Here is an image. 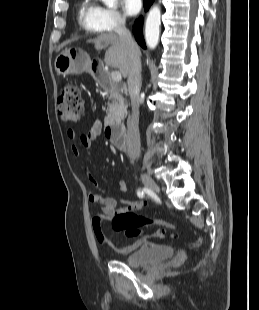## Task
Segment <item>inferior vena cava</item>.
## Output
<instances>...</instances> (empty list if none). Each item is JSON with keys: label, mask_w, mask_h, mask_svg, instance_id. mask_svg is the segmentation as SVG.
Here are the masks:
<instances>
[{"label": "inferior vena cava", "mask_w": 259, "mask_h": 310, "mask_svg": "<svg viewBox=\"0 0 259 310\" xmlns=\"http://www.w3.org/2000/svg\"><path fill=\"white\" fill-rule=\"evenodd\" d=\"M121 41L127 46L130 53V67L128 72V90L131 98L132 114L128 122V136L131 142V154L133 158L140 156L139 135V93L141 89V60L138 46L133 40L130 31L125 26V19H119L116 28Z\"/></svg>", "instance_id": "602c4592"}]
</instances>
